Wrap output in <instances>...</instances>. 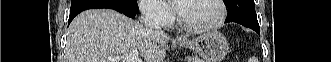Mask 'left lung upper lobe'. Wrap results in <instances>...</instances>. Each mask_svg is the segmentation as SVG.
<instances>
[{"instance_id":"left-lung-upper-lobe-1","label":"left lung upper lobe","mask_w":331,"mask_h":62,"mask_svg":"<svg viewBox=\"0 0 331 62\" xmlns=\"http://www.w3.org/2000/svg\"><path fill=\"white\" fill-rule=\"evenodd\" d=\"M228 9L226 22L234 20L257 21L254 0H224Z\"/></svg>"}]
</instances>
